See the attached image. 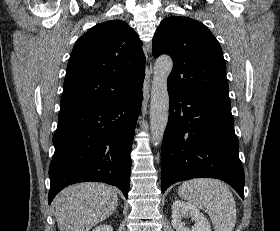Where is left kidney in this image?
I'll return each mask as SVG.
<instances>
[{"instance_id":"1","label":"left kidney","mask_w":280,"mask_h":231,"mask_svg":"<svg viewBox=\"0 0 280 231\" xmlns=\"http://www.w3.org/2000/svg\"><path fill=\"white\" fill-rule=\"evenodd\" d=\"M183 217L185 219L190 217V221H194V225L186 227ZM172 225L176 231H211L210 223L205 215L200 213V209L182 199H176L172 203Z\"/></svg>"}]
</instances>
